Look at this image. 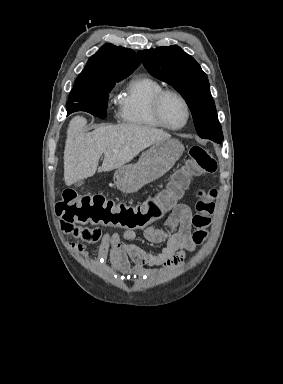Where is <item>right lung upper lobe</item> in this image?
<instances>
[{
  "label": "right lung upper lobe",
  "mask_w": 283,
  "mask_h": 384,
  "mask_svg": "<svg viewBox=\"0 0 283 384\" xmlns=\"http://www.w3.org/2000/svg\"><path fill=\"white\" fill-rule=\"evenodd\" d=\"M139 64L133 50L105 44L90 57L73 89L119 82L129 76Z\"/></svg>",
  "instance_id": "1"
}]
</instances>
